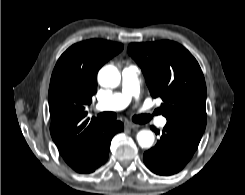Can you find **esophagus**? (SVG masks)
Segmentation results:
<instances>
[{
  "label": "esophagus",
  "mask_w": 245,
  "mask_h": 195,
  "mask_svg": "<svg viewBox=\"0 0 245 195\" xmlns=\"http://www.w3.org/2000/svg\"><path fill=\"white\" fill-rule=\"evenodd\" d=\"M126 128L128 129H138L139 128V125L136 124V123H133V122H127L125 124Z\"/></svg>",
  "instance_id": "34e87169"
}]
</instances>
